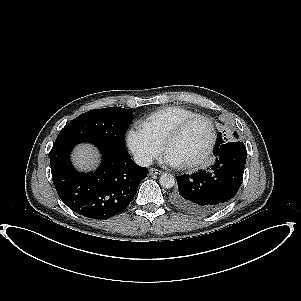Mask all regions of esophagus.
I'll return each instance as SVG.
<instances>
[{"label": "esophagus", "instance_id": "34e87169", "mask_svg": "<svg viewBox=\"0 0 301 301\" xmlns=\"http://www.w3.org/2000/svg\"><path fill=\"white\" fill-rule=\"evenodd\" d=\"M161 173H162L161 170H158V169H155V168H151V169L149 170V174H150V175H158V174H161Z\"/></svg>", "mask_w": 301, "mask_h": 301}]
</instances>
